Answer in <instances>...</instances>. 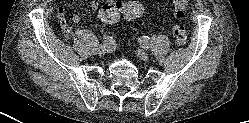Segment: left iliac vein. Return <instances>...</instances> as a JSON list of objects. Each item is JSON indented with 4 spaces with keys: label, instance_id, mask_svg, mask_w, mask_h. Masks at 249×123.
Listing matches in <instances>:
<instances>
[{
    "label": "left iliac vein",
    "instance_id": "4c4485c4",
    "mask_svg": "<svg viewBox=\"0 0 249 123\" xmlns=\"http://www.w3.org/2000/svg\"><path fill=\"white\" fill-rule=\"evenodd\" d=\"M137 55L143 61H147L149 59L148 53L146 51L142 50V49H139L137 51Z\"/></svg>",
    "mask_w": 249,
    "mask_h": 123
}]
</instances>
